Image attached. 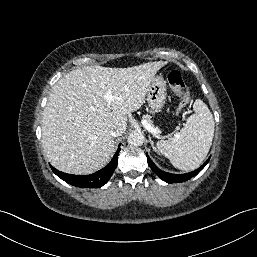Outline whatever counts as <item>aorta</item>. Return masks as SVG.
I'll list each match as a JSON object with an SVG mask.
<instances>
[{
    "label": "aorta",
    "instance_id": "1",
    "mask_svg": "<svg viewBox=\"0 0 257 257\" xmlns=\"http://www.w3.org/2000/svg\"><path fill=\"white\" fill-rule=\"evenodd\" d=\"M128 143L133 146H140L144 143V136L141 132H132L128 136Z\"/></svg>",
    "mask_w": 257,
    "mask_h": 257
}]
</instances>
